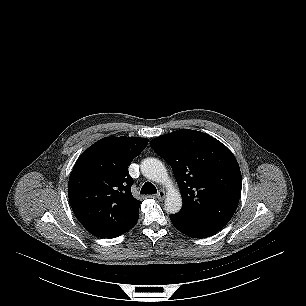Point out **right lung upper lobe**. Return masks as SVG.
Returning <instances> with one entry per match:
<instances>
[{
  "label": "right lung upper lobe",
  "instance_id": "right-lung-upper-lobe-1",
  "mask_svg": "<svg viewBox=\"0 0 306 306\" xmlns=\"http://www.w3.org/2000/svg\"><path fill=\"white\" fill-rule=\"evenodd\" d=\"M147 144L145 138L105 137L78 158L69 178V202L91 234L115 238L137 222L141 202L131 193L128 166Z\"/></svg>",
  "mask_w": 306,
  "mask_h": 306
}]
</instances>
